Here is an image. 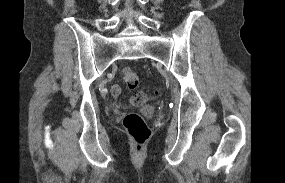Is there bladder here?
I'll return each mask as SVG.
<instances>
[{
  "label": "bladder",
  "instance_id": "obj_1",
  "mask_svg": "<svg viewBox=\"0 0 285 183\" xmlns=\"http://www.w3.org/2000/svg\"><path fill=\"white\" fill-rule=\"evenodd\" d=\"M143 112L145 114H152L154 112V109L150 108V107H146V108L143 109Z\"/></svg>",
  "mask_w": 285,
  "mask_h": 183
}]
</instances>
